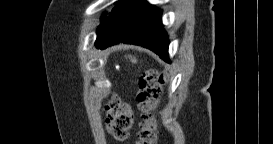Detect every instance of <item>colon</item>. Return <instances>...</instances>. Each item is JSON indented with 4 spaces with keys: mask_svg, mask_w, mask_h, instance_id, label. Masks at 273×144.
Here are the masks:
<instances>
[{
    "mask_svg": "<svg viewBox=\"0 0 273 144\" xmlns=\"http://www.w3.org/2000/svg\"><path fill=\"white\" fill-rule=\"evenodd\" d=\"M164 81L165 75L155 70L149 71L143 76L138 92V102L143 108L149 109L157 102ZM106 111L109 133L117 140H125L133 120L129 106L119 100H113L106 106ZM139 139L140 144H153L157 141L155 125L149 113L145 114Z\"/></svg>",
    "mask_w": 273,
    "mask_h": 144,
    "instance_id": "colon-1",
    "label": "colon"
}]
</instances>
